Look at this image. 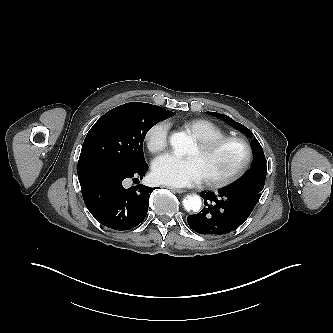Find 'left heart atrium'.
<instances>
[{
    "instance_id": "left-heart-atrium-1",
    "label": "left heart atrium",
    "mask_w": 333,
    "mask_h": 333,
    "mask_svg": "<svg viewBox=\"0 0 333 333\" xmlns=\"http://www.w3.org/2000/svg\"><path fill=\"white\" fill-rule=\"evenodd\" d=\"M153 176L163 184L187 187L202 181L203 175L197 160L164 154L153 162Z\"/></svg>"
}]
</instances>
